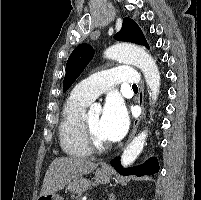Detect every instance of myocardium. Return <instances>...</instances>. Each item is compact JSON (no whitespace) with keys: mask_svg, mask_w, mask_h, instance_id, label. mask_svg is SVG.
<instances>
[{"mask_svg":"<svg viewBox=\"0 0 201 200\" xmlns=\"http://www.w3.org/2000/svg\"><path fill=\"white\" fill-rule=\"evenodd\" d=\"M81 132L83 143L91 152H103L109 148V143H102L95 138L85 118L81 119Z\"/></svg>","mask_w":201,"mask_h":200,"instance_id":"f54148a6","label":"myocardium"}]
</instances>
